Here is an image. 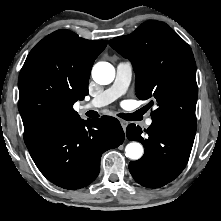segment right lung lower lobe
Instances as JSON below:
<instances>
[{
	"label": "right lung lower lobe",
	"instance_id": "98d812e1",
	"mask_svg": "<svg viewBox=\"0 0 221 221\" xmlns=\"http://www.w3.org/2000/svg\"><path fill=\"white\" fill-rule=\"evenodd\" d=\"M120 122L110 116L100 119L58 120L41 131L26 146L41 173L55 185L79 189L100 172L101 155L123 143Z\"/></svg>",
	"mask_w": 221,
	"mask_h": 221
}]
</instances>
